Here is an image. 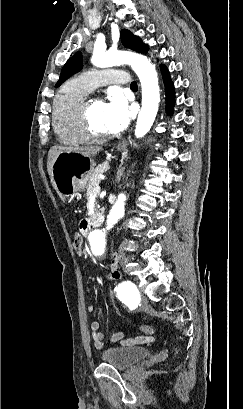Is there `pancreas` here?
Wrapping results in <instances>:
<instances>
[{
    "label": "pancreas",
    "mask_w": 243,
    "mask_h": 409,
    "mask_svg": "<svg viewBox=\"0 0 243 409\" xmlns=\"http://www.w3.org/2000/svg\"><path fill=\"white\" fill-rule=\"evenodd\" d=\"M109 169V163L105 162L102 164H99L91 173L90 177H89V181L87 184V192H86V197L87 200L89 201L90 199V195L93 193V190L95 187H97L100 183V178L99 175L101 173L106 172ZM95 213L93 214V217H97L98 215H100V210H98V205L97 202L95 203V207H94ZM102 211V210H101Z\"/></svg>",
    "instance_id": "pancreas-1"
}]
</instances>
